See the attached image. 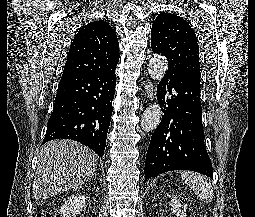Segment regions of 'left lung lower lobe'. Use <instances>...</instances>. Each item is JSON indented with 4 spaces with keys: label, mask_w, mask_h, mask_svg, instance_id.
<instances>
[{
    "label": "left lung lower lobe",
    "mask_w": 255,
    "mask_h": 217,
    "mask_svg": "<svg viewBox=\"0 0 255 217\" xmlns=\"http://www.w3.org/2000/svg\"><path fill=\"white\" fill-rule=\"evenodd\" d=\"M157 99L163 116L148 147L145 180L173 170L195 171L212 178V163L204 144L200 85L167 70L157 87Z\"/></svg>",
    "instance_id": "1"
}]
</instances>
